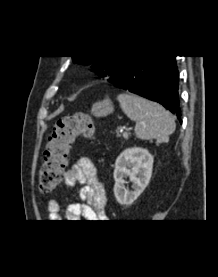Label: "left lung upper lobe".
I'll return each mask as SVG.
<instances>
[{
    "label": "left lung upper lobe",
    "mask_w": 218,
    "mask_h": 277,
    "mask_svg": "<svg viewBox=\"0 0 218 277\" xmlns=\"http://www.w3.org/2000/svg\"><path fill=\"white\" fill-rule=\"evenodd\" d=\"M73 62L89 65L102 78L121 70L135 56H72Z\"/></svg>",
    "instance_id": "1"
}]
</instances>
